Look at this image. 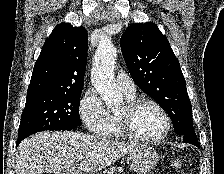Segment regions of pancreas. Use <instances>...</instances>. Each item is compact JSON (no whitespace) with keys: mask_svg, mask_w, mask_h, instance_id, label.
Here are the masks:
<instances>
[{"mask_svg":"<svg viewBox=\"0 0 224 174\" xmlns=\"http://www.w3.org/2000/svg\"><path fill=\"white\" fill-rule=\"evenodd\" d=\"M117 172H123L121 167H111L109 170L106 171L107 174H117Z\"/></svg>","mask_w":224,"mask_h":174,"instance_id":"cf45deb5","label":"pancreas"}]
</instances>
